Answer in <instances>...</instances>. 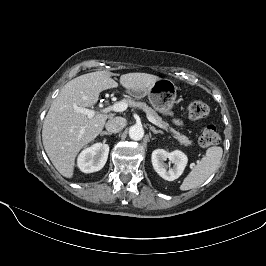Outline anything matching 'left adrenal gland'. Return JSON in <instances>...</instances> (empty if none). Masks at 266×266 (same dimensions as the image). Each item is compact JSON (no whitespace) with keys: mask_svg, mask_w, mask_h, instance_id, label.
<instances>
[{"mask_svg":"<svg viewBox=\"0 0 266 266\" xmlns=\"http://www.w3.org/2000/svg\"><path fill=\"white\" fill-rule=\"evenodd\" d=\"M150 130H151L154 134H158V133L163 134V131H161V130H156L155 127H153V126H151V125H150Z\"/></svg>","mask_w":266,"mask_h":266,"instance_id":"1","label":"left adrenal gland"}]
</instances>
